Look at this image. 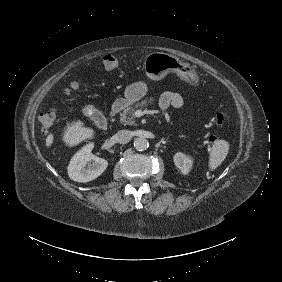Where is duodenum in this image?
<instances>
[{"mask_svg": "<svg viewBox=\"0 0 282 282\" xmlns=\"http://www.w3.org/2000/svg\"><path fill=\"white\" fill-rule=\"evenodd\" d=\"M124 102L122 100H118L117 102L113 103L110 108V117L114 118L124 107Z\"/></svg>", "mask_w": 282, "mask_h": 282, "instance_id": "obj_1", "label": "duodenum"}]
</instances>
